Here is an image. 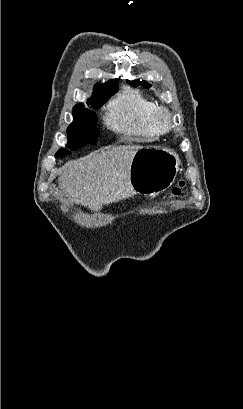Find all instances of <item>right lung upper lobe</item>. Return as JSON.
Returning <instances> with one entry per match:
<instances>
[{
  "instance_id": "obj_1",
  "label": "right lung upper lobe",
  "mask_w": 243,
  "mask_h": 409,
  "mask_svg": "<svg viewBox=\"0 0 243 409\" xmlns=\"http://www.w3.org/2000/svg\"><path fill=\"white\" fill-rule=\"evenodd\" d=\"M117 79H111L110 81L104 83L103 85H96L94 88L93 95L91 96L90 99H88L87 104L94 105L101 101L103 97L109 93L117 91ZM77 109H85L84 105L82 103L77 104L74 107V110Z\"/></svg>"
}]
</instances>
